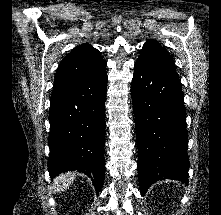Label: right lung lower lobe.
Instances as JSON below:
<instances>
[{
    "mask_svg": "<svg viewBox=\"0 0 221 215\" xmlns=\"http://www.w3.org/2000/svg\"><path fill=\"white\" fill-rule=\"evenodd\" d=\"M106 69L50 99L48 171L53 178L66 171L85 173L102 188L105 161Z\"/></svg>",
    "mask_w": 221,
    "mask_h": 215,
    "instance_id": "1",
    "label": "right lung lower lobe"
}]
</instances>
